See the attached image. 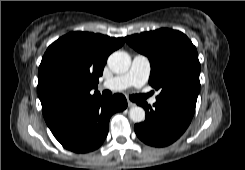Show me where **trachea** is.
<instances>
[{"label":"trachea","mask_w":245,"mask_h":170,"mask_svg":"<svg viewBox=\"0 0 245 170\" xmlns=\"http://www.w3.org/2000/svg\"><path fill=\"white\" fill-rule=\"evenodd\" d=\"M103 95L104 96H111L112 95V93L110 92V91H108V90H106V91H104L103 92ZM147 96V95H146ZM135 96H130V99L132 100V101H135Z\"/></svg>","instance_id":"3493384b"}]
</instances>
